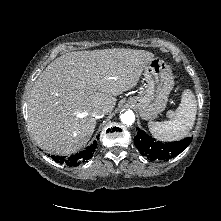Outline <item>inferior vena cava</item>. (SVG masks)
<instances>
[{"label": "inferior vena cava", "instance_id": "602c4592", "mask_svg": "<svg viewBox=\"0 0 221 221\" xmlns=\"http://www.w3.org/2000/svg\"><path fill=\"white\" fill-rule=\"evenodd\" d=\"M106 114V109L104 107H95L92 110V116L96 119L102 118Z\"/></svg>", "mask_w": 221, "mask_h": 221}]
</instances>
